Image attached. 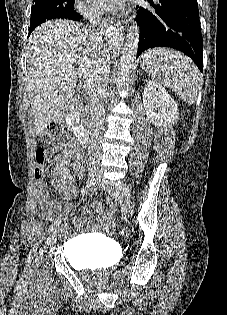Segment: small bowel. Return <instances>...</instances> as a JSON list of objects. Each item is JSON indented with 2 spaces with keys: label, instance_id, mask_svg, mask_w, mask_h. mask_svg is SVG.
Segmentation results:
<instances>
[{
  "label": "small bowel",
  "instance_id": "1",
  "mask_svg": "<svg viewBox=\"0 0 227 315\" xmlns=\"http://www.w3.org/2000/svg\"><path fill=\"white\" fill-rule=\"evenodd\" d=\"M82 161V152L76 144L72 143L66 151L55 157L56 172L50 179L51 186L59 193L67 194L71 199L74 197V191L66 187L68 183L73 180V174L70 170L72 163L75 169H78ZM34 195L38 205L43 209V217L51 220L54 216L63 213L66 214L69 210V205H65L63 210L62 206L53 201L48 200V193L45 191V185L38 182L34 186ZM91 208L99 214L102 221H108L114 216V206L110 203L104 205L102 201H92ZM75 223H79L76 219Z\"/></svg>",
  "mask_w": 227,
  "mask_h": 315
}]
</instances>
